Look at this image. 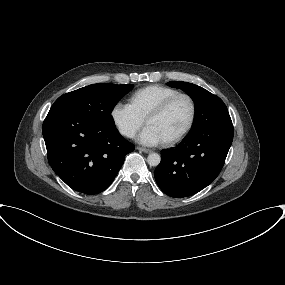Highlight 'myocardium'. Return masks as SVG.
I'll list each match as a JSON object with an SVG mask.
<instances>
[{"label": "myocardium", "mask_w": 285, "mask_h": 285, "mask_svg": "<svg viewBox=\"0 0 285 285\" xmlns=\"http://www.w3.org/2000/svg\"><path fill=\"white\" fill-rule=\"evenodd\" d=\"M180 98H185L188 100V102L190 104V108H191L190 118H189V121H188L187 125L185 126V128L179 134H177L173 138L163 142L164 145H166V146H172V145L179 143L188 135V133L193 128L195 120H196V115H197V106H196V102H195L194 98L190 94H187V93L175 94V95L169 97L168 99H166L165 101H163L155 109H153L147 115V117L145 119V122L147 124L151 119L156 118L158 116H161L171 107V105L175 101H177Z\"/></svg>", "instance_id": "obj_1"}]
</instances>
